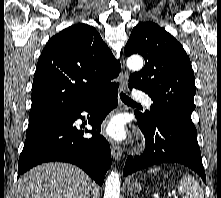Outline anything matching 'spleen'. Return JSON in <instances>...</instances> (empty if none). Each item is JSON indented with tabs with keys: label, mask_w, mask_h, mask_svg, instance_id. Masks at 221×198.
<instances>
[{
	"label": "spleen",
	"mask_w": 221,
	"mask_h": 198,
	"mask_svg": "<svg viewBox=\"0 0 221 198\" xmlns=\"http://www.w3.org/2000/svg\"><path fill=\"white\" fill-rule=\"evenodd\" d=\"M160 168L151 169L150 172H156ZM179 193L185 195V198H204V193L199 183L190 175H184L179 182Z\"/></svg>",
	"instance_id": "obj_1"
}]
</instances>
